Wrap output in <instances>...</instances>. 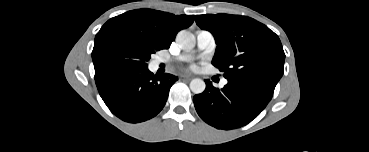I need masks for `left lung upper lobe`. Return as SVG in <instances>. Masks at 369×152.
Here are the masks:
<instances>
[{"label":"left lung upper lobe","instance_id":"obj_1","mask_svg":"<svg viewBox=\"0 0 369 152\" xmlns=\"http://www.w3.org/2000/svg\"><path fill=\"white\" fill-rule=\"evenodd\" d=\"M196 23L213 34L217 48L212 64L227 80L276 86L283 75L285 53L267 26L224 13L198 15Z\"/></svg>","mask_w":369,"mask_h":152}]
</instances>
